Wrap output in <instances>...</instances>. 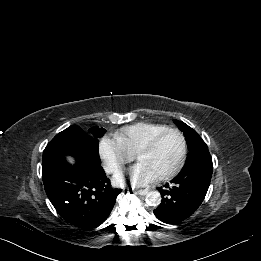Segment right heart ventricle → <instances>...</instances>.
I'll list each match as a JSON object with an SVG mask.
<instances>
[{"label":"right heart ventricle","instance_id":"e07e8e85","mask_svg":"<svg viewBox=\"0 0 261 261\" xmlns=\"http://www.w3.org/2000/svg\"><path fill=\"white\" fill-rule=\"evenodd\" d=\"M167 128L165 125L139 122L120 129L115 138L130 154H135L154 135Z\"/></svg>","mask_w":261,"mask_h":261}]
</instances>
